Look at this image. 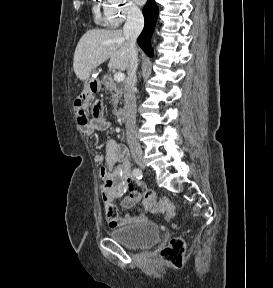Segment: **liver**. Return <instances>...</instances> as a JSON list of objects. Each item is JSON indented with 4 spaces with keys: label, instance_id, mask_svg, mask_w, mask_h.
Returning <instances> with one entry per match:
<instances>
[{
    "label": "liver",
    "instance_id": "obj_1",
    "mask_svg": "<svg viewBox=\"0 0 273 288\" xmlns=\"http://www.w3.org/2000/svg\"><path fill=\"white\" fill-rule=\"evenodd\" d=\"M109 60L108 67L125 71L130 62V42L123 31L92 29L77 44L73 59L76 76L85 81L93 69Z\"/></svg>",
    "mask_w": 273,
    "mask_h": 288
}]
</instances>
